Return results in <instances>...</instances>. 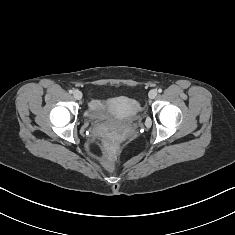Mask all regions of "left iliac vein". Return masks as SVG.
Segmentation results:
<instances>
[{"mask_svg": "<svg viewBox=\"0 0 235 235\" xmlns=\"http://www.w3.org/2000/svg\"><path fill=\"white\" fill-rule=\"evenodd\" d=\"M156 96H157V91H156L155 89H152V90L149 92V98H150V99H154Z\"/></svg>", "mask_w": 235, "mask_h": 235, "instance_id": "1", "label": "left iliac vein"}]
</instances>
